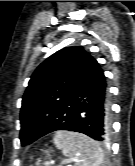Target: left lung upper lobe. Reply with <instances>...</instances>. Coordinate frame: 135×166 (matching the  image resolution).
Instances as JSON below:
<instances>
[{
  "instance_id": "obj_1",
  "label": "left lung upper lobe",
  "mask_w": 135,
  "mask_h": 166,
  "mask_svg": "<svg viewBox=\"0 0 135 166\" xmlns=\"http://www.w3.org/2000/svg\"><path fill=\"white\" fill-rule=\"evenodd\" d=\"M92 59L81 46L63 48L35 70L22 100L20 122L46 124L66 106L72 88Z\"/></svg>"
}]
</instances>
